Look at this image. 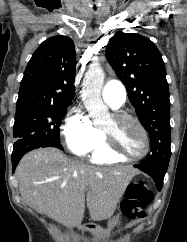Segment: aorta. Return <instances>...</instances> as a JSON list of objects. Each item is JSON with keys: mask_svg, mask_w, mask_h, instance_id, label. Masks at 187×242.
Here are the masks:
<instances>
[{"mask_svg": "<svg viewBox=\"0 0 187 242\" xmlns=\"http://www.w3.org/2000/svg\"><path fill=\"white\" fill-rule=\"evenodd\" d=\"M104 77L105 74L101 67L91 66L83 80L82 99L89 116L95 123L101 122L109 116L108 107L101 98Z\"/></svg>", "mask_w": 187, "mask_h": 242, "instance_id": "aorta-1", "label": "aorta"}]
</instances>
